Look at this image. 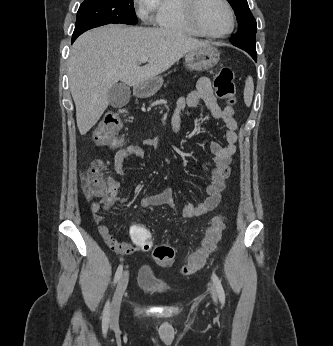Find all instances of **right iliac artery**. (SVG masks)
<instances>
[{
  "label": "right iliac artery",
  "instance_id": "1",
  "mask_svg": "<svg viewBox=\"0 0 333 346\" xmlns=\"http://www.w3.org/2000/svg\"><path fill=\"white\" fill-rule=\"evenodd\" d=\"M122 271H123V266L119 265V267L117 268V271L115 273L114 283L118 282V280L120 279V277L122 275ZM109 315H110V303H109V301H107V303L105 304L104 310H103V317H102L103 329H107V327H108Z\"/></svg>",
  "mask_w": 333,
  "mask_h": 346
}]
</instances>
